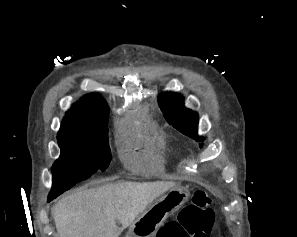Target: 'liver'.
Instances as JSON below:
<instances>
[{
	"label": "liver",
	"mask_w": 297,
	"mask_h": 237,
	"mask_svg": "<svg viewBox=\"0 0 297 237\" xmlns=\"http://www.w3.org/2000/svg\"><path fill=\"white\" fill-rule=\"evenodd\" d=\"M175 182H119L80 189L63 197L52 213L59 237H119L147 206ZM122 227H118L116 221Z\"/></svg>",
	"instance_id": "liver-1"
}]
</instances>
